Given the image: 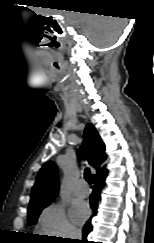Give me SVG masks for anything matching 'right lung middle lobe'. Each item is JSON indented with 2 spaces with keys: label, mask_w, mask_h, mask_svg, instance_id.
<instances>
[{
  "label": "right lung middle lobe",
  "mask_w": 154,
  "mask_h": 243,
  "mask_svg": "<svg viewBox=\"0 0 154 243\" xmlns=\"http://www.w3.org/2000/svg\"><path fill=\"white\" fill-rule=\"evenodd\" d=\"M47 205L48 203H45L36 207L28 208V223L30 225L36 224L40 213Z\"/></svg>",
  "instance_id": "right-lung-middle-lobe-1"
}]
</instances>
